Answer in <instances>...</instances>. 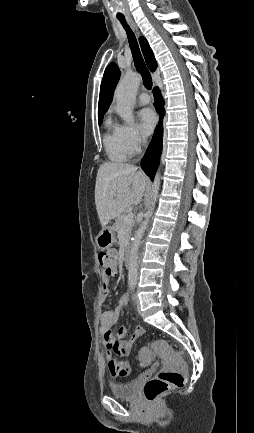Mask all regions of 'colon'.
Wrapping results in <instances>:
<instances>
[{
    "instance_id": "colon-1",
    "label": "colon",
    "mask_w": 254,
    "mask_h": 433,
    "mask_svg": "<svg viewBox=\"0 0 254 433\" xmlns=\"http://www.w3.org/2000/svg\"><path fill=\"white\" fill-rule=\"evenodd\" d=\"M99 263L104 268L107 276H114L117 273L116 252L108 250L100 252L98 255ZM139 335L144 334V329H139ZM161 347L165 351H169L168 346L161 342ZM174 360L156 377L150 379L142 388V394L148 401H154L164 393L178 389L184 386L186 381V365L174 353H171ZM152 356L148 351H143L140 354L141 364L147 365L151 362Z\"/></svg>"
}]
</instances>
